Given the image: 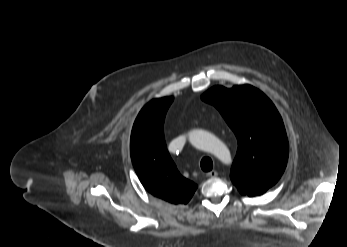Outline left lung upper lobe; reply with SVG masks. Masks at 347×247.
I'll return each instance as SVG.
<instances>
[{"label": "left lung upper lobe", "mask_w": 347, "mask_h": 247, "mask_svg": "<svg viewBox=\"0 0 347 247\" xmlns=\"http://www.w3.org/2000/svg\"><path fill=\"white\" fill-rule=\"evenodd\" d=\"M214 105L238 141L230 178L243 195L266 192L281 177L288 159L282 118L270 99L250 85L212 87L201 96Z\"/></svg>", "instance_id": "left-lung-upper-lobe-1"}]
</instances>
